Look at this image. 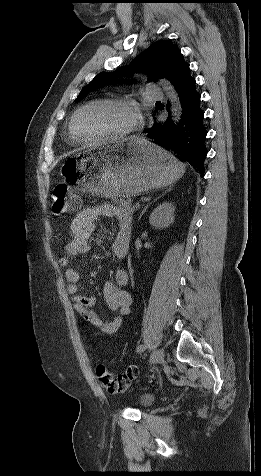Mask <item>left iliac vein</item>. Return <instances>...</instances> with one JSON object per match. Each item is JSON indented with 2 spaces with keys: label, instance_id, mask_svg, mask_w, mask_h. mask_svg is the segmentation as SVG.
Listing matches in <instances>:
<instances>
[{
  "label": "left iliac vein",
  "instance_id": "left-iliac-vein-1",
  "mask_svg": "<svg viewBox=\"0 0 261 476\" xmlns=\"http://www.w3.org/2000/svg\"><path fill=\"white\" fill-rule=\"evenodd\" d=\"M164 361V350L158 349L154 351L150 357V364L157 365Z\"/></svg>",
  "mask_w": 261,
  "mask_h": 476
}]
</instances>
